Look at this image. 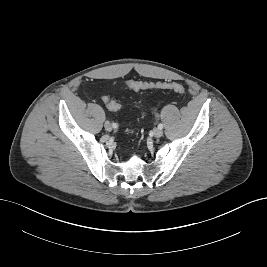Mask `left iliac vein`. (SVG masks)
Returning <instances> with one entry per match:
<instances>
[{
    "label": "left iliac vein",
    "mask_w": 267,
    "mask_h": 267,
    "mask_svg": "<svg viewBox=\"0 0 267 267\" xmlns=\"http://www.w3.org/2000/svg\"><path fill=\"white\" fill-rule=\"evenodd\" d=\"M162 134H163V132H162V129H160V128H155V129L153 130V135H154L156 138L161 137Z\"/></svg>",
    "instance_id": "obj_1"
}]
</instances>
